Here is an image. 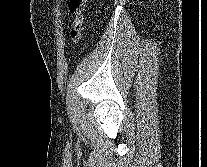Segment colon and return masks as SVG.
Returning a JSON list of instances; mask_svg holds the SVG:
<instances>
[{
    "label": "colon",
    "instance_id": "colon-1",
    "mask_svg": "<svg viewBox=\"0 0 207 167\" xmlns=\"http://www.w3.org/2000/svg\"><path fill=\"white\" fill-rule=\"evenodd\" d=\"M87 0H69L68 9L73 15V20L69 27V35L74 45H77L81 39L84 30V9Z\"/></svg>",
    "mask_w": 207,
    "mask_h": 167
}]
</instances>
